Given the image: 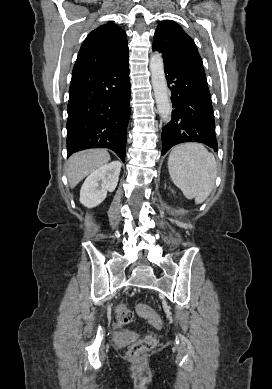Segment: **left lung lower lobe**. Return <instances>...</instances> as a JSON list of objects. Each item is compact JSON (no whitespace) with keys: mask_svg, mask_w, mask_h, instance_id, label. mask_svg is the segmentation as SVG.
Instances as JSON below:
<instances>
[{"mask_svg":"<svg viewBox=\"0 0 272 389\" xmlns=\"http://www.w3.org/2000/svg\"><path fill=\"white\" fill-rule=\"evenodd\" d=\"M174 110L162 131V155L183 142H200L217 151L211 95L203 67L164 63Z\"/></svg>","mask_w":272,"mask_h":389,"instance_id":"1","label":"left lung lower lobe"}]
</instances>
